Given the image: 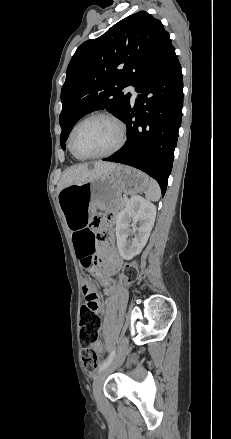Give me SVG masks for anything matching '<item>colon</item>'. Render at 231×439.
<instances>
[{
    "mask_svg": "<svg viewBox=\"0 0 231 439\" xmlns=\"http://www.w3.org/2000/svg\"><path fill=\"white\" fill-rule=\"evenodd\" d=\"M101 223L110 225V217H99ZM106 235H98V238L105 239ZM94 254H91L84 262V268H91L94 265ZM123 275L128 280H133L137 276V267L129 264L124 267ZM101 318L98 313L90 306L83 305L80 314V344L82 347V361L88 371L94 370L99 363L101 349L94 347L100 335Z\"/></svg>",
    "mask_w": 231,
    "mask_h": 439,
    "instance_id": "obj_1",
    "label": "colon"
}]
</instances>
